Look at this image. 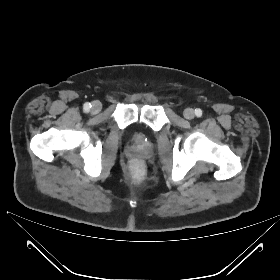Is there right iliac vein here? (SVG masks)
I'll return each mask as SVG.
<instances>
[{
  "label": "right iliac vein",
  "instance_id": "63e3f726",
  "mask_svg": "<svg viewBox=\"0 0 280 280\" xmlns=\"http://www.w3.org/2000/svg\"><path fill=\"white\" fill-rule=\"evenodd\" d=\"M102 109V104L99 101H94L91 106V111L93 113H98Z\"/></svg>",
  "mask_w": 280,
  "mask_h": 280
}]
</instances>
